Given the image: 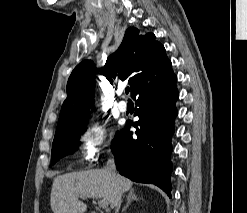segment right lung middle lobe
<instances>
[{"label":"right lung middle lobe","mask_w":247,"mask_h":213,"mask_svg":"<svg viewBox=\"0 0 247 213\" xmlns=\"http://www.w3.org/2000/svg\"><path fill=\"white\" fill-rule=\"evenodd\" d=\"M85 129H86V124H83L80 126L63 129L55 134L52 145V154H51V162L53 164L56 163L63 156L72 154L77 149L76 148V146L78 145L77 141L80 138V134L83 131H85Z\"/></svg>","instance_id":"dd1d6c3e"}]
</instances>
